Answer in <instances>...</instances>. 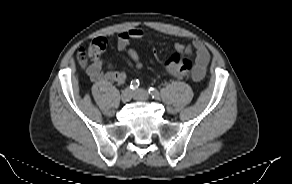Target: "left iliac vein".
I'll return each mask as SVG.
<instances>
[{
    "mask_svg": "<svg viewBox=\"0 0 292 184\" xmlns=\"http://www.w3.org/2000/svg\"><path fill=\"white\" fill-rule=\"evenodd\" d=\"M150 95L148 93V91L144 90V89H137L133 92V98L141 101V102H145L149 99Z\"/></svg>",
    "mask_w": 292,
    "mask_h": 184,
    "instance_id": "4c4485c4",
    "label": "left iliac vein"
}]
</instances>
